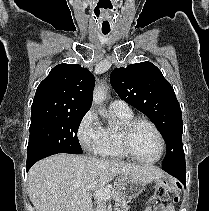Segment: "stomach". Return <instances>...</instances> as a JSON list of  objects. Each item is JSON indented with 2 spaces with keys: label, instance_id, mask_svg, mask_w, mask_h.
Returning a JSON list of instances; mask_svg holds the SVG:
<instances>
[{
  "label": "stomach",
  "instance_id": "stomach-1",
  "mask_svg": "<svg viewBox=\"0 0 209 211\" xmlns=\"http://www.w3.org/2000/svg\"><path fill=\"white\" fill-rule=\"evenodd\" d=\"M119 186L125 198L128 200H133L138 197L145 188V184L132 178L120 179Z\"/></svg>",
  "mask_w": 209,
  "mask_h": 211
}]
</instances>
